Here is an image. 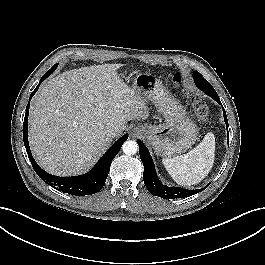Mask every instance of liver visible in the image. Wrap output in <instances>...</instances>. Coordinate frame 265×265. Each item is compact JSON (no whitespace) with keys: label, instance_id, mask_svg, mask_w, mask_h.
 <instances>
[{"label":"liver","instance_id":"obj_1","mask_svg":"<svg viewBox=\"0 0 265 265\" xmlns=\"http://www.w3.org/2000/svg\"><path fill=\"white\" fill-rule=\"evenodd\" d=\"M123 64L65 71L49 80L30 108L28 137L38 164L58 176L89 170L127 127L147 119L143 98L117 74ZM114 128L116 135L107 136Z\"/></svg>","mask_w":265,"mask_h":265}]
</instances>
